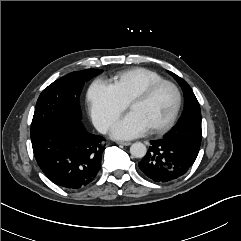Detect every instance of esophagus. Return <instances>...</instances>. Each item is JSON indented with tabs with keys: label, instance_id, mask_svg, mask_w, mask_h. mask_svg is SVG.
Wrapping results in <instances>:
<instances>
[{
	"label": "esophagus",
	"instance_id": "34e87169",
	"mask_svg": "<svg viewBox=\"0 0 241 241\" xmlns=\"http://www.w3.org/2000/svg\"><path fill=\"white\" fill-rule=\"evenodd\" d=\"M117 144L123 145V146H129V145H131V142L118 141Z\"/></svg>",
	"mask_w": 241,
	"mask_h": 241
}]
</instances>
